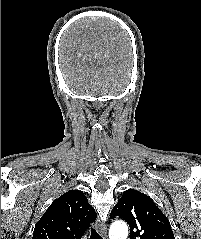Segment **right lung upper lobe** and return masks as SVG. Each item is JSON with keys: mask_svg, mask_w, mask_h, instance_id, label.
Returning <instances> with one entry per match:
<instances>
[{"mask_svg": "<svg viewBox=\"0 0 201 239\" xmlns=\"http://www.w3.org/2000/svg\"><path fill=\"white\" fill-rule=\"evenodd\" d=\"M95 218L84 193L70 190L49 206L35 225L32 239H81Z\"/></svg>", "mask_w": 201, "mask_h": 239, "instance_id": "1", "label": "right lung upper lobe"}]
</instances>
